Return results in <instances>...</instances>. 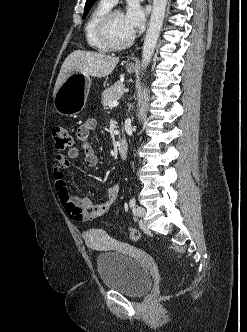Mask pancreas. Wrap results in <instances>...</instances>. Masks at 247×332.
<instances>
[{"mask_svg": "<svg viewBox=\"0 0 247 332\" xmlns=\"http://www.w3.org/2000/svg\"><path fill=\"white\" fill-rule=\"evenodd\" d=\"M125 85L116 83L102 92V105L106 106L109 102L118 100L124 94Z\"/></svg>", "mask_w": 247, "mask_h": 332, "instance_id": "pancreas-1", "label": "pancreas"}]
</instances>
